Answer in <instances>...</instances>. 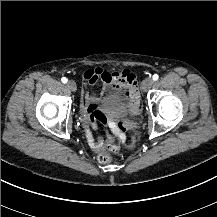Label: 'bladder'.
<instances>
[{"label":"bladder","mask_w":217,"mask_h":217,"mask_svg":"<svg viewBox=\"0 0 217 217\" xmlns=\"http://www.w3.org/2000/svg\"><path fill=\"white\" fill-rule=\"evenodd\" d=\"M132 108V105L127 102H121L117 99L112 101H106L104 103L103 109L107 111L109 116H117L122 115L128 111H130Z\"/></svg>","instance_id":"obj_1"}]
</instances>
